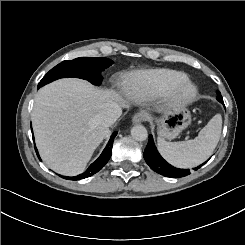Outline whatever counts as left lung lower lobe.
<instances>
[{
	"instance_id": "1",
	"label": "left lung lower lobe",
	"mask_w": 245,
	"mask_h": 245,
	"mask_svg": "<svg viewBox=\"0 0 245 245\" xmlns=\"http://www.w3.org/2000/svg\"><path fill=\"white\" fill-rule=\"evenodd\" d=\"M217 100L223 103V98L219 91H217ZM143 156H144L146 163L150 166V168L163 176L170 177V178H180V177H185L190 174L189 169L175 168L171 166L169 163H167L160 156L153 142L152 135L149 136L148 144H147V147L145 148ZM200 167L201 165L196 167L195 170L199 169Z\"/></svg>"
}]
</instances>
